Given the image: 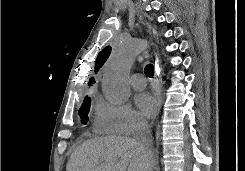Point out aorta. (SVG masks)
I'll return each instance as SVG.
<instances>
[{
	"label": "aorta",
	"instance_id": "obj_1",
	"mask_svg": "<svg viewBox=\"0 0 245 171\" xmlns=\"http://www.w3.org/2000/svg\"><path fill=\"white\" fill-rule=\"evenodd\" d=\"M148 42L139 38L123 39L106 64L102 91L106 99L114 104L128 100L131 94L128 83L129 72L136 58L147 48Z\"/></svg>",
	"mask_w": 245,
	"mask_h": 171
}]
</instances>
